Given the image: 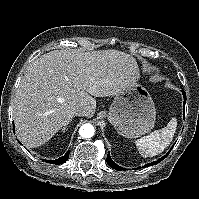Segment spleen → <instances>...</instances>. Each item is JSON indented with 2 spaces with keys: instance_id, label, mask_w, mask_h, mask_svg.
<instances>
[{
  "instance_id": "spleen-1",
  "label": "spleen",
  "mask_w": 199,
  "mask_h": 199,
  "mask_svg": "<svg viewBox=\"0 0 199 199\" xmlns=\"http://www.w3.org/2000/svg\"><path fill=\"white\" fill-rule=\"evenodd\" d=\"M176 127L177 119L173 117L166 127L136 140L135 144L141 156L153 157L162 153L172 142Z\"/></svg>"
}]
</instances>
